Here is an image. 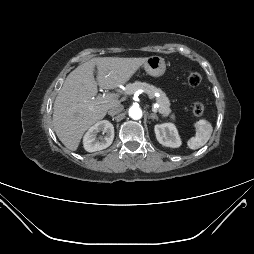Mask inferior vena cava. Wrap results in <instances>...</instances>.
Masks as SVG:
<instances>
[{
	"label": "inferior vena cava",
	"instance_id": "obj_1",
	"mask_svg": "<svg viewBox=\"0 0 254 254\" xmlns=\"http://www.w3.org/2000/svg\"><path fill=\"white\" fill-rule=\"evenodd\" d=\"M123 108H124L123 105L120 103L114 104L111 107H109L108 114L110 116H114V115L120 113L123 110Z\"/></svg>",
	"mask_w": 254,
	"mask_h": 254
}]
</instances>
